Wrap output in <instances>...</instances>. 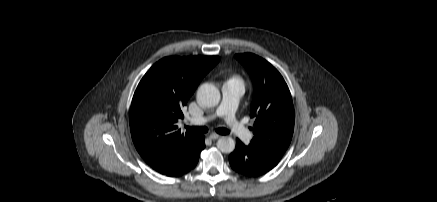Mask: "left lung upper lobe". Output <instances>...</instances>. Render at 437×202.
I'll list each match as a JSON object with an SVG mask.
<instances>
[{
	"instance_id": "5c2ea615",
	"label": "left lung upper lobe",
	"mask_w": 437,
	"mask_h": 202,
	"mask_svg": "<svg viewBox=\"0 0 437 202\" xmlns=\"http://www.w3.org/2000/svg\"><path fill=\"white\" fill-rule=\"evenodd\" d=\"M254 86L250 116L256 118L249 147L277 165L287 150L294 130V107L282 75L269 62L251 54H237Z\"/></svg>"
}]
</instances>
